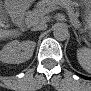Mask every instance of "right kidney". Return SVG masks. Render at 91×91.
Here are the masks:
<instances>
[{
    "label": "right kidney",
    "instance_id": "right-kidney-1",
    "mask_svg": "<svg viewBox=\"0 0 91 91\" xmlns=\"http://www.w3.org/2000/svg\"><path fill=\"white\" fill-rule=\"evenodd\" d=\"M36 43L34 41L14 40L5 45L0 52V60L7 64H19L29 60L33 55Z\"/></svg>",
    "mask_w": 91,
    "mask_h": 91
}]
</instances>
